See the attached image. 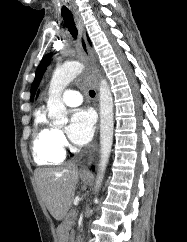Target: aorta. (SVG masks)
<instances>
[{
    "label": "aorta",
    "instance_id": "1",
    "mask_svg": "<svg viewBox=\"0 0 187 242\" xmlns=\"http://www.w3.org/2000/svg\"><path fill=\"white\" fill-rule=\"evenodd\" d=\"M84 65L80 62H68L57 67L53 73L49 98L47 101L48 116L55 122H63L67 109L62 100L65 87L82 71ZM100 98V161L97 174L96 187H99L109 161L113 143V97L106 79H101L99 86ZM97 199H95V202Z\"/></svg>",
    "mask_w": 187,
    "mask_h": 242
}]
</instances>
